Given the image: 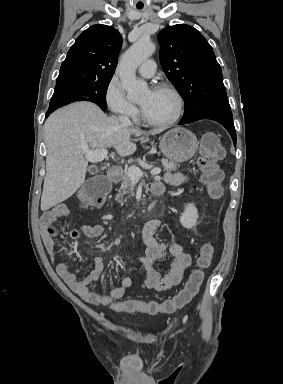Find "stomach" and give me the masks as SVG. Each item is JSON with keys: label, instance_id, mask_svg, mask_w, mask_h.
<instances>
[{"label": "stomach", "instance_id": "obj_1", "mask_svg": "<svg viewBox=\"0 0 283 384\" xmlns=\"http://www.w3.org/2000/svg\"><path fill=\"white\" fill-rule=\"evenodd\" d=\"M160 150L170 162H187L197 152L198 140L185 128H173L162 136Z\"/></svg>", "mask_w": 283, "mask_h": 384}]
</instances>
